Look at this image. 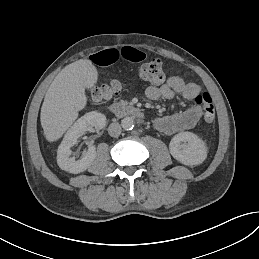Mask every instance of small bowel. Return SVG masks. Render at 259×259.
<instances>
[{"label": "small bowel", "instance_id": "1", "mask_svg": "<svg viewBox=\"0 0 259 259\" xmlns=\"http://www.w3.org/2000/svg\"><path fill=\"white\" fill-rule=\"evenodd\" d=\"M145 57V51L125 46L121 49L99 51L91 56V61L98 66H108L120 58L139 62L144 60ZM199 94H201V88L198 84L186 82L179 76H170L160 86H150L146 90V96L151 100L172 99L179 95L183 100L190 101L196 99ZM203 113L202 106L198 104L180 113L157 117L154 120V127L161 133L172 135L193 128L199 122Z\"/></svg>", "mask_w": 259, "mask_h": 259}]
</instances>
